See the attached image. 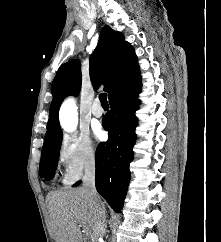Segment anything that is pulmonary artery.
Segmentation results:
<instances>
[{
	"label": "pulmonary artery",
	"mask_w": 221,
	"mask_h": 242,
	"mask_svg": "<svg viewBox=\"0 0 221 242\" xmlns=\"http://www.w3.org/2000/svg\"><path fill=\"white\" fill-rule=\"evenodd\" d=\"M91 113L94 117L100 118L103 115V109L98 99H95L91 107Z\"/></svg>",
	"instance_id": "e3ab8cb5"
}]
</instances>
